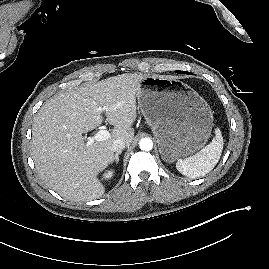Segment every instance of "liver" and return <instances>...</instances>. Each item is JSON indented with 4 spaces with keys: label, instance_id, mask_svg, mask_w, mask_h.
<instances>
[{
    "label": "liver",
    "instance_id": "6515ba94",
    "mask_svg": "<svg viewBox=\"0 0 269 269\" xmlns=\"http://www.w3.org/2000/svg\"><path fill=\"white\" fill-rule=\"evenodd\" d=\"M142 73H125L59 93L46 101L32 126V158L41 180L71 201L101 197L98 174L112 163L114 140L130 145L137 117L136 97ZM98 107H106L103 112ZM105 113L114 126L104 141L85 142L83 133L99 127Z\"/></svg>",
    "mask_w": 269,
    "mask_h": 269
}]
</instances>
